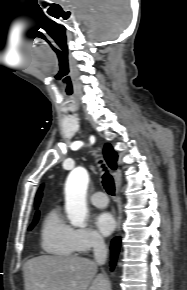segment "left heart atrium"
Masks as SVG:
<instances>
[{
	"mask_svg": "<svg viewBox=\"0 0 187 290\" xmlns=\"http://www.w3.org/2000/svg\"><path fill=\"white\" fill-rule=\"evenodd\" d=\"M94 224L99 232L108 235L115 228V219L109 212H101L95 216Z\"/></svg>",
	"mask_w": 187,
	"mask_h": 290,
	"instance_id": "39dd6f15",
	"label": "left heart atrium"
}]
</instances>
